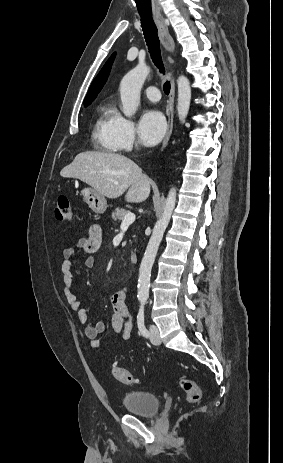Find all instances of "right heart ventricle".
I'll list each match as a JSON object with an SVG mask.
<instances>
[{
	"label": "right heart ventricle",
	"instance_id": "1",
	"mask_svg": "<svg viewBox=\"0 0 283 463\" xmlns=\"http://www.w3.org/2000/svg\"><path fill=\"white\" fill-rule=\"evenodd\" d=\"M115 119V110L112 107H106L100 112L94 125L95 146L108 153H115L120 149L115 135Z\"/></svg>",
	"mask_w": 283,
	"mask_h": 463
}]
</instances>
